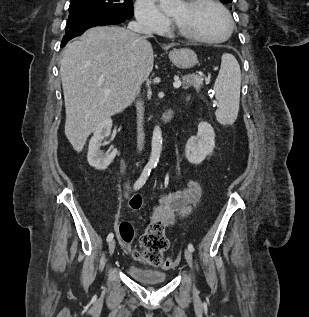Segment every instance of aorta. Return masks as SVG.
Instances as JSON below:
<instances>
[{
    "instance_id": "1",
    "label": "aorta",
    "mask_w": 309,
    "mask_h": 317,
    "mask_svg": "<svg viewBox=\"0 0 309 317\" xmlns=\"http://www.w3.org/2000/svg\"><path fill=\"white\" fill-rule=\"evenodd\" d=\"M180 0H159L160 7L164 11L171 10L174 6L178 4ZM162 151V131L159 126H155L152 135L151 142V155L149 159V164L151 166H157L160 159V154Z\"/></svg>"
}]
</instances>
